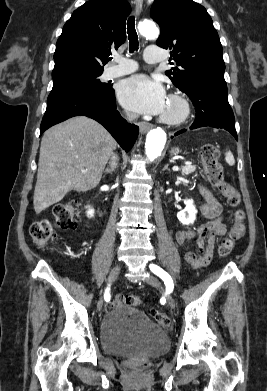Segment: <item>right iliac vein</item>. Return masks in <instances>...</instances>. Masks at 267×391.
Instances as JSON below:
<instances>
[{
	"label": "right iliac vein",
	"mask_w": 267,
	"mask_h": 391,
	"mask_svg": "<svg viewBox=\"0 0 267 391\" xmlns=\"http://www.w3.org/2000/svg\"><path fill=\"white\" fill-rule=\"evenodd\" d=\"M120 270H121V266L119 264L115 265L110 274H109V277H108V283L109 284H112L118 277L119 273H120ZM103 297H100L98 302H97V310L100 311L103 307Z\"/></svg>",
	"instance_id": "1"
}]
</instances>
